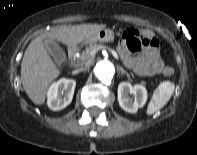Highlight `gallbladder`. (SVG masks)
Segmentation results:
<instances>
[{"instance_id":"1","label":"gallbladder","mask_w":197,"mask_h":155,"mask_svg":"<svg viewBox=\"0 0 197 155\" xmlns=\"http://www.w3.org/2000/svg\"><path fill=\"white\" fill-rule=\"evenodd\" d=\"M44 46L46 50L53 57L56 64L61 65L66 60V54L64 50L54 40H45Z\"/></svg>"}]
</instances>
